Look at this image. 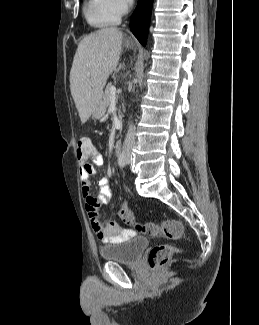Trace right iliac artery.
Here are the masks:
<instances>
[{
    "label": "right iliac artery",
    "instance_id": "82829eb1",
    "mask_svg": "<svg viewBox=\"0 0 259 325\" xmlns=\"http://www.w3.org/2000/svg\"><path fill=\"white\" fill-rule=\"evenodd\" d=\"M118 164L120 167H123L124 165L127 164V159H126V155L124 152H122L119 156H118Z\"/></svg>",
    "mask_w": 259,
    "mask_h": 325
}]
</instances>
